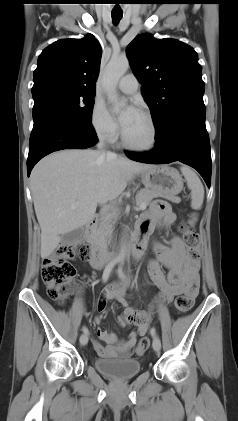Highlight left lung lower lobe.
I'll list each match as a JSON object with an SVG mask.
<instances>
[{"mask_svg": "<svg viewBox=\"0 0 238 421\" xmlns=\"http://www.w3.org/2000/svg\"><path fill=\"white\" fill-rule=\"evenodd\" d=\"M156 146L148 153L125 152L132 160L148 164L180 161L196 169L210 187L211 153L205 126V109L177 115L155 137Z\"/></svg>", "mask_w": 238, "mask_h": 421, "instance_id": "obj_1", "label": "left lung lower lobe"}]
</instances>
